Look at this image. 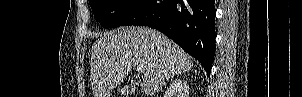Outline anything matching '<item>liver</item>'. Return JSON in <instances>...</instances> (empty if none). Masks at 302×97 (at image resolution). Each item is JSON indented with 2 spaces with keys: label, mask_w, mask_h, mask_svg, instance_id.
I'll list each match as a JSON object with an SVG mask.
<instances>
[{
  "label": "liver",
  "mask_w": 302,
  "mask_h": 97,
  "mask_svg": "<svg viewBox=\"0 0 302 97\" xmlns=\"http://www.w3.org/2000/svg\"><path fill=\"white\" fill-rule=\"evenodd\" d=\"M146 70L140 87L156 95L166 82L193 67L192 58L164 34L147 27H125L100 34L91 50L90 81L94 97H109L137 65Z\"/></svg>",
  "instance_id": "liver-1"
}]
</instances>
